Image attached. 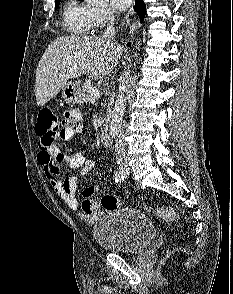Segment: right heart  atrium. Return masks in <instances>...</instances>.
I'll list each match as a JSON object with an SVG mask.
<instances>
[{
	"instance_id": "right-heart-atrium-1",
	"label": "right heart atrium",
	"mask_w": 233,
	"mask_h": 294,
	"mask_svg": "<svg viewBox=\"0 0 233 294\" xmlns=\"http://www.w3.org/2000/svg\"><path fill=\"white\" fill-rule=\"evenodd\" d=\"M94 27L99 28L111 22L115 13L111 8H92Z\"/></svg>"
}]
</instances>
